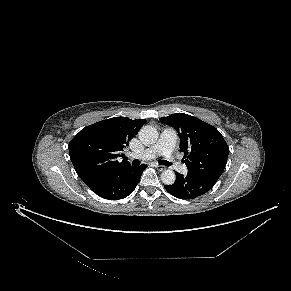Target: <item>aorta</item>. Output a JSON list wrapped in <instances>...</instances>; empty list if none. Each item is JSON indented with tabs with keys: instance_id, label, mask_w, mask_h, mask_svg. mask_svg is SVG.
Wrapping results in <instances>:
<instances>
[{
	"instance_id": "1",
	"label": "aorta",
	"mask_w": 291,
	"mask_h": 291,
	"mask_svg": "<svg viewBox=\"0 0 291 291\" xmlns=\"http://www.w3.org/2000/svg\"><path fill=\"white\" fill-rule=\"evenodd\" d=\"M138 135L140 141L145 145L156 143L159 137L157 129L151 125L143 126ZM161 180L166 185H172L176 180V175L172 170L167 169L161 173Z\"/></svg>"
}]
</instances>
